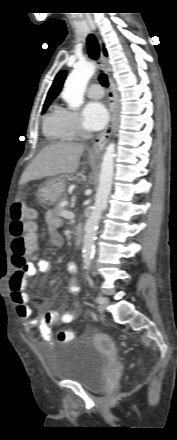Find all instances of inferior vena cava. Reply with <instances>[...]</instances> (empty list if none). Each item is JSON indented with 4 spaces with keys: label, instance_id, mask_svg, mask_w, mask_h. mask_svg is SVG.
Segmentation results:
<instances>
[{
    "label": "inferior vena cava",
    "instance_id": "inferior-vena-cava-1",
    "mask_svg": "<svg viewBox=\"0 0 177 440\" xmlns=\"http://www.w3.org/2000/svg\"><path fill=\"white\" fill-rule=\"evenodd\" d=\"M92 137V135L90 134V133H86L85 135H84V138H86V139H89V138H91Z\"/></svg>",
    "mask_w": 177,
    "mask_h": 440
}]
</instances>
